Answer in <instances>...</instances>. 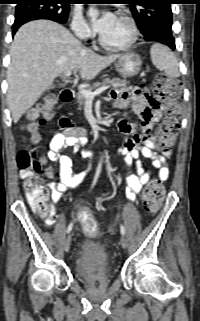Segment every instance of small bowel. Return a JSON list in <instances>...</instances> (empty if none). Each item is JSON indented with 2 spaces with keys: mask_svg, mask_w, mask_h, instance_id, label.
<instances>
[{
  "mask_svg": "<svg viewBox=\"0 0 200 321\" xmlns=\"http://www.w3.org/2000/svg\"><path fill=\"white\" fill-rule=\"evenodd\" d=\"M114 105L121 109H132L137 116V122H129L121 119L118 122V129L125 135L123 146L119 152L124 158L126 167L127 196L134 202L136 195L143 186L150 180L149 174L145 171L142 158L151 160L152 166L158 170L159 179L166 181L169 177L167 167V154L157 153L156 137L153 134L154 126L161 120L165 112L164 106L149 95L146 89H136L131 93L118 89L109 94ZM85 132L82 129H69L65 133L56 134L49 146V151L43 161L49 160L54 165L47 172L50 190L51 216L46 218L45 223L52 226L56 222L55 205L60 201L66 190L76 181L72 171L71 154L63 153L66 148L75 152L86 143ZM59 180H55V174Z\"/></svg>",
  "mask_w": 200,
  "mask_h": 321,
  "instance_id": "c3829d8e",
  "label": "small bowel"
}]
</instances>
